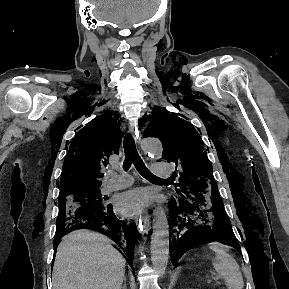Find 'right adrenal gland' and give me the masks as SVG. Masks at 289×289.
Here are the masks:
<instances>
[{
	"instance_id": "1",
	"label": "right adrenal gland",
	"mask_w": 289,
	"mask_h": 289,
	"mask_svg": "<svg viewBox=\"0 0 289 289\" xmlns=\"http://www.w3.org/2000/svg\"><path fill=\"white\" fill-rule=\"evenodd\" d=\"M122 289H127V285H126V277H124V284H123Z\"/></svg>"
}]
</instances>
